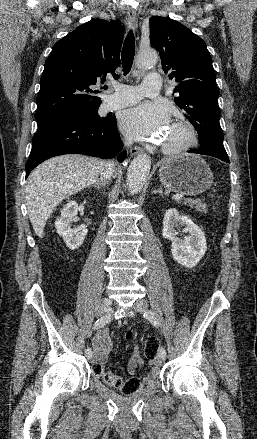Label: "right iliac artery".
<instances>
[{
    "mask_svg": "<svg viewBox=\"0 0 257 439\" xmlns=\"http://www.w3.org/2000/svg\"><path fill=\"white\" fill-rule=\"evenodd\" d=\"M110 319H111V315L110 314L105 315V316L99 318L94 323V325L92 327V330H96V329H99L100 327H103L105 324H107L110 321ZM85 354H86L87 357L92 356V354H93L92 349L90 347H87L85 349Z\"/></svg>",
    "mask_w": 257,
    "mask_h": 439,
    "instance_id": "1",
    "label": "right iliac artery"
}]
</instances>
